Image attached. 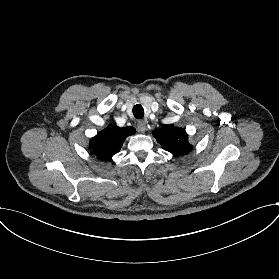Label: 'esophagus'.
I'll return each mask as SVG.
<instances>
[{
    "label": "esophagus",
    "mask_w": 279,
    "mask_h": 279,
    "mask_svg": "<svg viewBox=\"0 0 279 279\" xmlns=\"http://www.w3.org/2000/svg\"><path fill=\"white\" fill-rule=\"evenodd\" d=\"M137 130L140 133H144L147 130V124L143 120L138 121Z\"/></svg>",
    "instance_id": "obj_1"
}]
</instances>
